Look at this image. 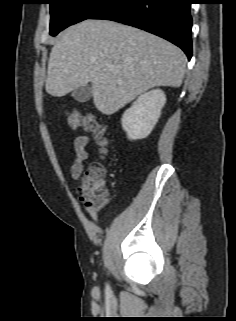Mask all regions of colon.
I'll return each instance as SVG.
<instances>
[{
    "mask_svg": "<svg viewBox=\"0 0 236 321\" xmlns=\"http://www.w3.org/2000/svg\"><path fill=\"white\" fill-rule=\"evenodd\" d=\"M67 122L72 129H81L91 133L100 147L101 153L107 152L109 138L106 129L92 114L69 111ZM105 175V165L100 161L92 162L77 189L80 199L92 208H101L109 201V194L105 187Z\"/></svg>",
    "mask_w": 236,
    "mask_h": 321,
    "instance_id": "5ec220e1",
    "label": "colon"
}]
</instances>
